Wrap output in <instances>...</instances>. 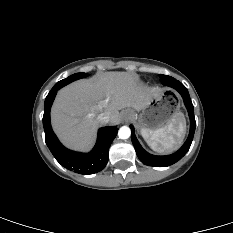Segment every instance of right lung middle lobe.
Here are the masks:
<instances>
[{"instance_id": "obj_1", "label": "right lung middle lobe", "mask_w": 233, "mask_h": 233, "mask_svg": "<svg viewBox=\"0 0 233 233\" xmlns=\"http://www.w3.org/2000/svg\"><path fill=\"white\" fill-rule=\"evenodd\" d=\"M86 76H87L86 73H76V74H73V75L69 76L68 78L63 79V80L57 82L54 87H56V86L63 87V86H65V85H67V84H69V83H71V82H73L75 80H78L80 78H84Z\"/></svg>"}]
</instances>
